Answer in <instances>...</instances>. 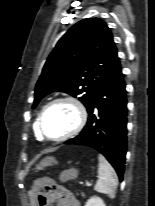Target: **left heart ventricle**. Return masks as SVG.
Instances as JSON below:
<instances>
[{
    "label": "left heart ventricle",
    "mask_w": 155,
    "mask_h": 206,
    "mask_svg": "<svg viewBox=\"0 0 155 206\" xmlns=\"http://www.w3.org/2000/svg\"><path fill=\"white\" fill-rule=\"evenodd\" d=\"M76 123V113L68 104L52 107L44 116L42 129L48 137H60L67 133Z\"/></svg>",
    "instance_id": "obj_1"
}]
</instances>
